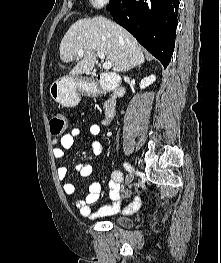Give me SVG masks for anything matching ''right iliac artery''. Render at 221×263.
Wrapping results in <instances>:
<instances>
[{"mask_svg": "<svg viewBox=\"0 0 221 263\" xmlns=\"http://www.w3.org/2000/svg\"><path fill=\"white\" fill-rule=\"evenodd\" d=\"M123 166H124V168H125L128 172H132V167H131L130 164L124 163Z\"/></svg>", "mask_w": 221, "mask_h": 263, "instance_id": "82829eb1", "label": "right iliac artery"}]
</instances>
